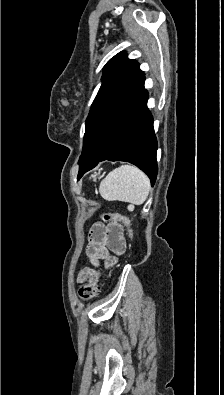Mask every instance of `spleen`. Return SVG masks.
Here are the masks:
<instances>
[{
	"instance_id": "spleen-1",
	"label": "spleen",
	"mask_w": 224,
	"mask_h": 395,
	"mask_svg": "<svg viewBox=\"0 0 224 395\" xmlns=\"http://www.w3.org/2000/svg\"><path fill=\"white\" fill-rule=\"evenodd\" d=\"M150 191V180L133 165H122L111 171L101 182L100 195L108 201H123L135 205L145 202Z\"/></svg>"
}]
</instances>
